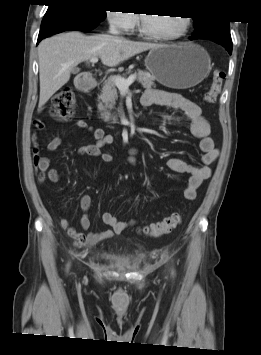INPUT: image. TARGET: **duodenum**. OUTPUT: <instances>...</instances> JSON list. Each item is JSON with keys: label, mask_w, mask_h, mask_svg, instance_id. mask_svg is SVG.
<instances>
[{"label": "duodenum", "mask_w": 261, "mask_h": 355, "mask_svg": "<svg viewBox=\"0 0 261 355\" xmlns=\"http://www.w3.org/2000/svg\"><path fill=\"white\" fill-rule=\"evenodd\" d=\"M78 90L81 92H90L97 86V80L93 75L83 76L76 82Z\"/></svg>", "instance_id": "obj_1"}]
</instances>
